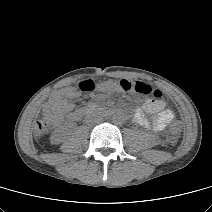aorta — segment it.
<instances>
[{
	"label": "aorta",
	"instance_id": "obj_1",
	"mask_svg": "<svg viewBox=\"0 0 212 212\" xmlns=\"http://www.w3.org/2000/svg\"><path fill=\"white\" fill-rule=\"evenodd\" d=\"M113 120L115 121V122H121L122 120H123V116H122V114L121 113H115L114 115H113Z\"/></svg>",
	"mask_w": 212,
	"mask_h": 212
}]
</instances>
